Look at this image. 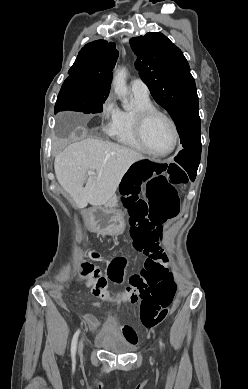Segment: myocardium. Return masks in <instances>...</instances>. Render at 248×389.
<instances>
[{"label":"myocardium","mask_w":248,"mask_h":389,"mask_svg":"<svg viewBox=\"0 0 248 389\" xmlns=\"http://www.w3.org/2000/svg\"><path fill=\"white\" fill-rule=\"evenodd\" d=\"M155 115H159V116L163 117L170 124L171 129H172V133H173V144L169 150L164 151V152H155V151L151 150L145 141L144 131H145L146 124ZM135 134H136L137 140L140 143V145L142 146L143 150L147 154H149L151 156H155V157L168 156L176 149L178 142H179V133H178V129H177V125H176L175 121L168 114H166L164 111H162L156 107H148V108L140 109L136 112V114H135Z\"/></svg>","instance_id":"1"}]
</instances>
